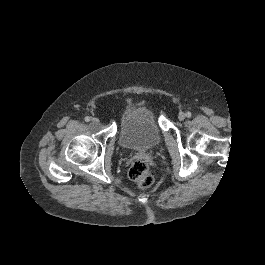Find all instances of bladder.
<instances>
[{
    "instance_id": "31cf9c89",
    "label": "bladder",
    "mask_w": 265,
    "mask_h": 265,
    "mask_svg": "<svg viewBox=\"0 0 265 265\" xmlns=\"http://www.w3.org/2000/svg\"><path fill=\"white\" fill-rule=\"evenodd\" d=\"M118 146L129 150H148L159 145L161 133L152 113L140 108L126 111L118 131Z\"/></svg>"
}]
</instances>
